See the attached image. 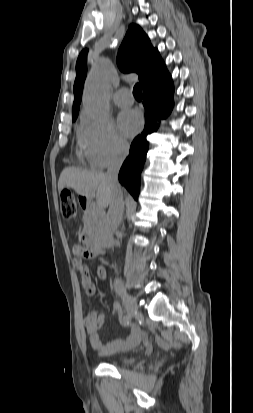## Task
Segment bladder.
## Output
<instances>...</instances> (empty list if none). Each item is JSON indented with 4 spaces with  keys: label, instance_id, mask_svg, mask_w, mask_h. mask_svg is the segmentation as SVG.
I'll return each instance as SVG.
<instances>
[{
    "label": "bladder",
    "instance_id": "31cf9c89",
    "mask_svg": "<svg viewBox=\"0 0 253 413\" xmlns=\"http://www.w3.org/2000/svg\"><path fill=\"white\" fill-rule=\"evenodd\" d=\"M135 361H136V358L134 356H123V357H119V358L112 360L113 363L123 364V365L132 364Z\"/></svg>",
    "mask_w": 253,
    "mask_h": 413
}]
</instances>
